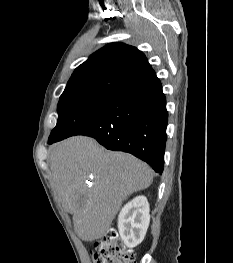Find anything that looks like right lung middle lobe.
<instances>
[{
    "label": "right lung middle lobe",
    "instance_id": "right-lung-middle-lobe-1",
    "mask_svg": "<svg viewBox=\"0 0 233 263\" xmlns=\"http://www.w3.org/2000/svg\"><path fill=\"white\" fill-rule=\"evenodd\" d=\"M117 95L107 92H83L61 96L57 124L48 141L62 140L75 135L97 120Z\"/></svg>",
    "mask_w": 233,
    "mask_h": 263
}]
</instances>
